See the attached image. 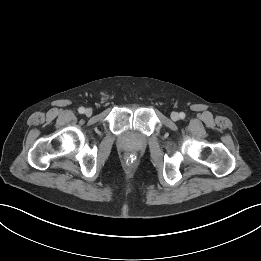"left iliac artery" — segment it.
Segmentation results:
<instances>
[{
    "mask_svg": "<svg viewBox=\"0 0 261 261\" xmlns=\"http://www.w3.org/2000/svg\"><path fill=\"white\" fill-rule=\"evenodd\" d=\"M179 117H180V119H184V118H185V113H184V112H181V113L179 114Z\"/></svg>",
    "mask_w": 261,
    "mask_h": 261,
    "instance_id": "left-iliac-artery-1",
    "label": "left iliac artery"
}]
</instances>
